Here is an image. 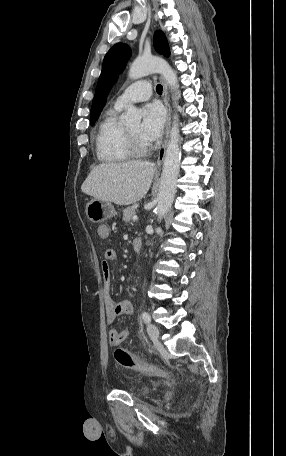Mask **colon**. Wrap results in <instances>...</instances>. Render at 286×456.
I'll return each instance as SVG.
<instances>
[{"label":"colon","mask_w":286,"mask_h":456,"mask_svg":"<svg viewBox=\"0 0 286 456\" xmlns=\"http://www.w3.org/2000/svg\"><path fill=\"white\" fill-rule=\"evenodd\" d=\"M114 357L119 365L135 370L147 376L168 379L170 374L165 369L156 365L144 362L123 348H117Z\"/></svg>","instance_id":"1"}]
</instances>
